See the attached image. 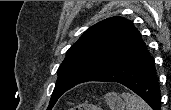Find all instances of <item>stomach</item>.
Returning <instances> with one entry per match:
<instances>
[{
	"label": "stomach",
	"mask_w": 171,
	"mask_h": 110,
	"mask_svg": "<svg viewBox=\"0 0 171 110\" xmlns=\"http://www.w3.org/2000/svg\"><path fill=\"white\" fill-rule=\"evenodd\" d=\"M105 101L108 104L110 110H124V102L116 93L106 94Z\"/></svg>",
	"instance_id": "1"
}]
</instances>
